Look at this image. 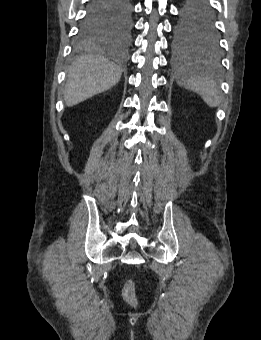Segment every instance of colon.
<instances>
[{
    "instance_id": "colon-1",
    "label": "colon",
    "mask_w": 261,
    "mask_h": 340,
    "mask_svg": "<svg viewBox=\"0 0 261 340\" xmlns=\"http://www.w3.org/2000/svg\"><path fill=\"white\" fill-rule=\"evenodd\" d=\"M122 295L124 300L131 306L137 305V298L135 295V285L132 280H127L124 284Z\"/></svg>"
}]
</instances>
